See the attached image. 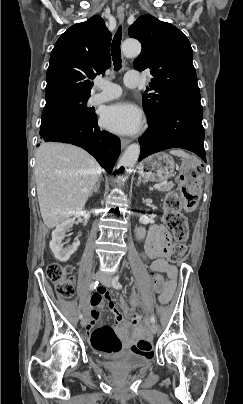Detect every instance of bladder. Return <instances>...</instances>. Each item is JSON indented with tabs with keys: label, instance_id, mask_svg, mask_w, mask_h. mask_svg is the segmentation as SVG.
I'll return each instance as SVG.
<instances>
[{
	"label": "bladder",
	"instance_id": "bladder-1",
	"mask_svg": "<svg viewBox=\"0 0 243 404\" xmlns=\"http://www.w3.org/2000/svg\"><path fill=\"white\" fill-rule=\"evenodd\" d=\"M150 359L136 352H125L114 357L101 358L100 365L106 370L125 374L146 366Z\"/></svg>",
	"mask_w": 243,
	"mask_h": 404
}]
</instances>
